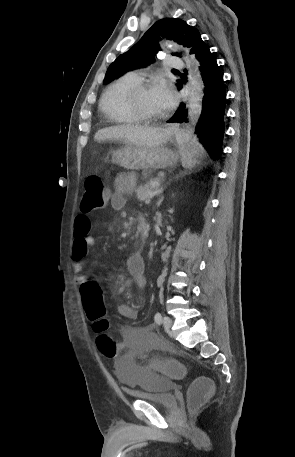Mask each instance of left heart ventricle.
<instances>
[{"instance_id":"obj_1","label":"left heart ventricle","mask_w":295,"mask_h":457,"mask_svg":"<svg viewBox=\"0 0 295 457\" xmlns=\"http://www.w3.org/2000/svg\"><path fill=\"white\" fill-rule=\"evenodd\" d=\"M152 89L153 88H150L140 93L139 104L146 113L151 115H159L163 113L164 110L156 102Z\"/></svg>"}]
</instances>
